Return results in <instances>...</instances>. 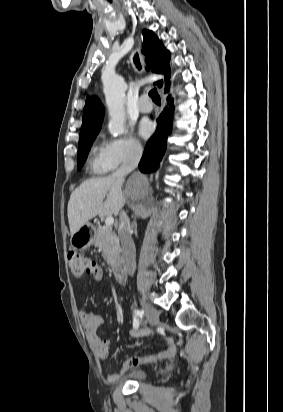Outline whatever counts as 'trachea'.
<instances>
[{
    "mask_svg": "<svg viewBox=\"0 0 283 412\" xmlns=\"http://www.w3.org/2000/svg\"><path fill=\"white\" fill-rule=\"evenodd\" d=\"M134 64L136 65V67H137L139 70L141 69V64H140V60H139L138 54H136V55L134 56ZM149 96L151 97V99H152L154 102H161L160 96H159L156 88L152 89V90L149 92Z\"/></svg>",
    "mask_w": 283,
    "mask_h": 412,
    "instance_id": "1",
    "label": "trachea"
}]
</instances>
